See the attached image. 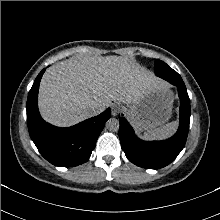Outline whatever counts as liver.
I'll return each instance as SVG.
<instances>
[{
  "label": "liver",
  "mask_w": 220,
  "mask_h": 220,
  "mask_svg": "<svg viewBox=\"0 0 220 220\" xmlns=\"http://www.w3.org/2000/svg\"><path fill=\"white\" fill-rule=\"evenodd\" d=\"M160 83L129 58L76 56L46 70L38 106L45 121L68 127L87 119L91 104L101 105L103 110L112 101L133 104Z\"/></svg>",
  "instance_id": "6515ba94"
}]
</instances>
